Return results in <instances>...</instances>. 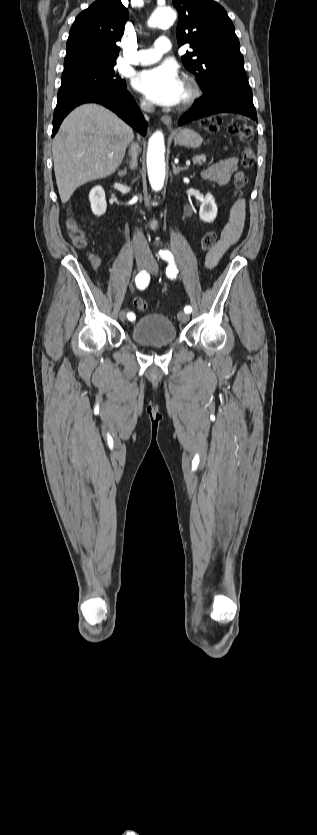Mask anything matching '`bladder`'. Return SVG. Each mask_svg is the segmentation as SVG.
Returning a JSON list of instances; mask_svg holds the SVG:
<instances>
[{
  "instance_id": "bladder-1",
  "label": "bladder",
  "mask_w": 317,
  "mask_h": 835,
  "mask_svg": "<svg viewBox=\"0 0 317 835\" xmlns=\"http://www.w3.org/2000/svg\"><path fill=\"white\" fill-rule=\"evenodd\" d=\"M131 336L140 345L161 346L173 343L177 339V331L167 316L151 313L135 322Z\"/></svg>"
}]
</instances>
